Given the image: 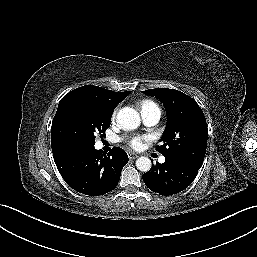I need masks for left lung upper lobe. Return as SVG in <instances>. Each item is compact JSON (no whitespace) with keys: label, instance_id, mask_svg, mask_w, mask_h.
<instances>
[{"label":"left lung upper lobe","instance_id":"5c2ea615","mask_svg":"<svg viewBox=\"0 0 257 257\" xmlns=\"http://www.w3.org/2000/svg\"><path fill=\"white\" fill-rule=\"evenodd\" d=\"M164 105L167 125L156 149L164 156H186L203 161L207 147V123L202 109L191 97L168 88L143 91Z\"/></svg>","mask_w":257,"mask_h":257}]
</instances>
